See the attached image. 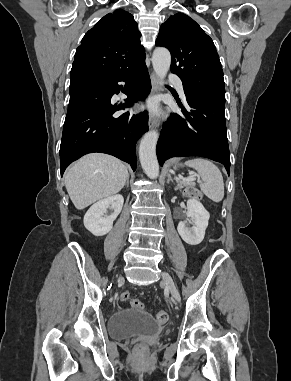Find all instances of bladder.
<instances>
[{"label": "bladder", "instance_id": "1", "mask_svg": "<svg viewBox=\"0 0 291 381\" xmlns=\"http://www.w3.org/2000/svg\"><path fill=\"white\" fill-rule=\"evenodd\" d=\"M162 330L146 311L119 309L109 316L108 332L113 339H127L135 336L153 335Z\"/></svg>", "mask_w": 291, "mask_h": 381}]
</instances>
